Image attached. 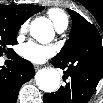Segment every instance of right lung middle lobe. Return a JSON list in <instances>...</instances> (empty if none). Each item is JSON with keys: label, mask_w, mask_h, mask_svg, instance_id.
<instances>
[{"label": "right lung middle lobe", "mask_w": 103, "mask_h": 103, "mask_svg": "<svg viewBox=\"0 0 103 103\" xmlns=\"http://www.w3.org/2000/svg\"><path fill=\"white\" fill-rule=\"evenodd\" d=\"M21 23L14 22L0 16V56L3 54H15L10 46L17 43L16 36Z\"/></svg>", "instance_id": "1"}]
</instances>
